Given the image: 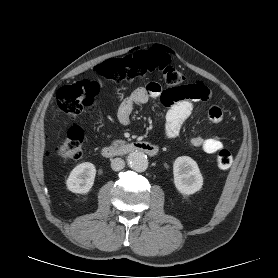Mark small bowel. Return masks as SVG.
<instances>
[{
    "label": "small bowel",
    "mask_w": 278,
    "mask_h": 278,
    "mask_svg": "<svg viewBox=\"0 0 278 278\" xmlns=\"http://www.w3.org/2000/svg\"><path fill=\"white\" fill-rule=\"evenodd\" d=\"M203 88V98L199 100H206L210 92ZM160 99L163 103L169 105V110L165 122V136L167 138H175L179 135L183 123L190 117L194 109L195 99L182 98L174 100L169 90H163L161 85L157 82H151L144 87H138L131 94L125 98L120 104L117 116L119 121L128 125L130 123V115L135 105H142L147 103L150 99ZM223 118V112L217 105L210 106L208 110V119L212 123H218ZM190 145L200 148L206 153L212 154L222 148L223 143L219 136H194L189 139Z\"/></svg>",
    "instance_id": "c3829d8e"
}]
</instances>
